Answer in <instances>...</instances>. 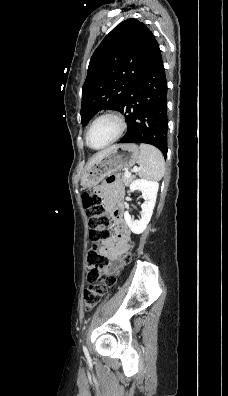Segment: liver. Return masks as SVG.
Masks as SVG:
<instances>
[{
    "label": "liver",
    "mask_w": 228,
    "mask_h": 396,
    "mask_svg": "<svg viewBox=\"0 0 228 396\" xmlns=\"http://www.w3.org/2000/svg\"><path fill=\"white\" fill-rule=\"evenodd\" d=\"M116 147V145L111 146L101 152H98L86 165V168L90 167L91 165H93L95 162H97L98 160H100L101 158H103L105 155H107L109 152H111L114 148Z\"/></svg>",
    "instance_id": "obj_1"
}]
</instances>
